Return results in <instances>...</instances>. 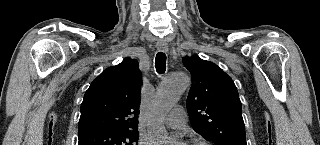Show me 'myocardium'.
<instances>
[{"label": "myocardium", "instance_id": "myocardium-1", "mask_svg": "<svg viewBox=\"0 0 320 145\" xmlns=\"http://www.w3.org/2000/svg\"><path fill=\"white\" fill-rule=\"evenodd\" d=\"M186 145H208V143L201 140H192L187 142Z\"/></svg>", "mask_w": 320, "mask_h": 145}]
</instances>
